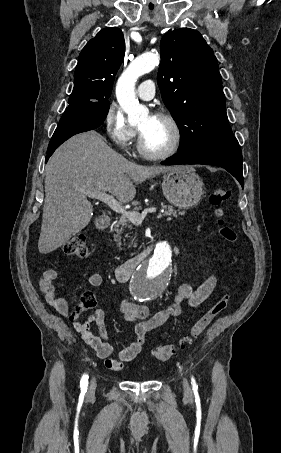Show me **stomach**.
I'll list each match as a JSON object with an SVG mask.
<instances>
[{
  "label": "stomach",
  "instance_id": "obj_1",
  "mask_svg": "<svg viewBox=\"0 0 281 453\" xmlns=\"http://www.w3.org/2000/svg\"><path fill=\"white\" fill-rule=\"evenodd\" d=\"M162 190L167 200L179 208H192L204 194V184L192 166L168 170L163 176Z\"/></svg>",
  "mask_w": 281,
  "mask_h": 453
}]
</instances>
